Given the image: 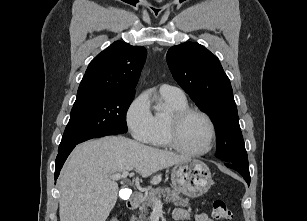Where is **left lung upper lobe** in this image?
<instances>
[{
    "label": "left lung upper lobe",
    "instance_id": "1",
    "mask_svg": "<svg viewBox=\"0 0 307 221\" xmlns=\"http://www.w3.org/2000/svg\"><path fill=\"white\" fill-rule=\"evenodd\" d=\"M167 63L177 83L212 119L216 157L249 169L232 87L219 59L204 46L186 42L168 50Z\"/></svg>",
    "mask_w": 307,
    "mask_h": 221
}]
</instances>
